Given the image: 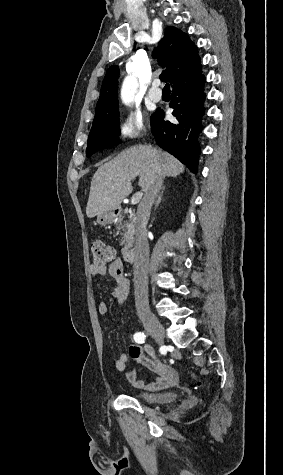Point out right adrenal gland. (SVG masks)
I'll list each match as a JSON object with an SVG mask.
<instances>
[{
	"label": "right adrenal gland",
	"instance_id": "obj_1",
	"mask_svg": "<svg viewBox=\"0 0 283 475\" xmlns=\"http://www.w3.org/2000/svg\"><path fill=\"white\" fill-rule=\"evenodd\" d=\"M164 190H165V186H162V192H160V194H159V196H158V198H157V200H156V202H155V204H154L155 210H156V208H158L159 204H161V202H162V200H163L162 196H163Z\"/></svg>",
	"mask_w": 283,
	"mask_h": 475
}]
</instances>
